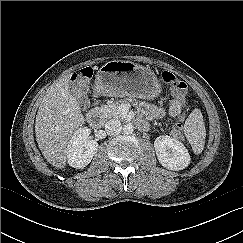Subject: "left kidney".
Wrapping results in <instances>:
<instances>
[{"label": "left kidney", "instance_id": "1", "mask_svg": "<svg viewBox=\"0 0 243 243\" xmlns=\"http://www.w3.org/2000/svg\"><path fill=\"white\" fill-rule=\"evenodd\" d=\"M154 148L159 162L167 169L179 171L190 164L191 158L186 147L168 135L157 137Z\"/></svg>", "mask_w": 243, "mask_h": 243}]
</instances>
